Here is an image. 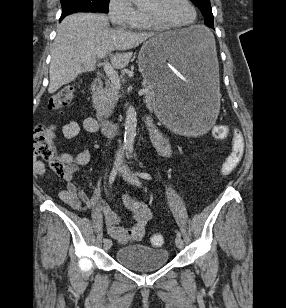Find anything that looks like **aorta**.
<instances>
[{"instance_id": "762f6f07", "label": "aorta", "mask_w": 286, "mask_h": 308, "mask_svg": "<svg viewBox=\"0 0 286 308\" xmlns=\"http://www.w3.org/2000/svg\"><path fill=\"white\" fill-rule=\"evenodd\" d=\"M134 3H142L146 0H130ZM136 124H137V117H136V110L133 106H129L126 111V118H125V135H124V144L126 147H132L134 143V139L136 136Z\"/></svg>"}]
</instances>
